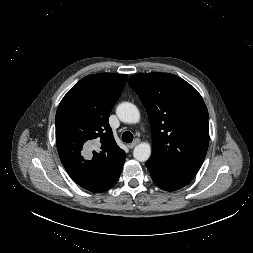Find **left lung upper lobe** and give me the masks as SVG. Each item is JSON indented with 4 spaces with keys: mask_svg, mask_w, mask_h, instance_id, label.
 Here are the masks:
<instances>
[{
    "mask_svg": "<svg viewBox=\"0 0 253 253\" xmlns=\"http://www.w3.org/2000/svg\"><path fill=\"white\" fill-rule=\"evenodd\" d=\"M151 124L152 155L192 174L201 167L209 144L208 110L198 91L169 73H142L128 79Z\"/></svg>",
    "mask_w": 253,
    "mask_h": 253,
    "instance_id": "1",
    "label": "left lung upper lobe"
}]
</instances>
